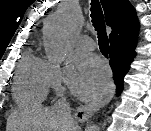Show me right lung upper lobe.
Here are the masks:
<instances>
[{
	"label": "right lung upper lobe",
	"instance_id": "obj_1",
	"mask_svg": "<svg viewBox=\"0 0 151 131\" xmlns=\"http://www.w3.org/2000/svg\"><path fill=\"white\" fill-rule=\"evenodd\" d=\"M105 19L112 28L110 45L137 42L139 23L136 12L128 0H101Z\"/></svg>",
	"mask_w": 151,
	"mask_h": 131
}]
</instances>
